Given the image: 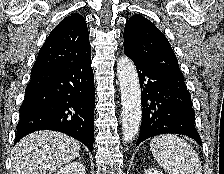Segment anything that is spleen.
<instances>
[{
	"label": "spleen",
	"mask_w": 224,
	"mask_h": 174,
	"mask_svg": "<svg viewBox=\"0 0 224 174\" xmlns=\"http://www.w3.org/2000/svg\"><path fill=\"white\" fill-rule=\"evenodd\" d=\"M153 157L169 174H202L196 151L177 135L165 134L150 142Z\"/></svg>",
	"instance_id": "obj_1"
}]
</instances>
